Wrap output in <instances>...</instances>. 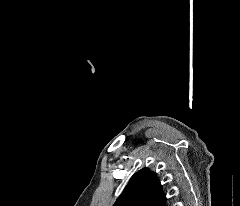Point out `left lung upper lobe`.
<instances>
[{
  "mask_svg": "<svg viewBox=\"0 0 240 206\" xmlns=\"http://www.w3.org/2000/svg\"><path fill=\"white\" fill-rule=\"evenodd\" d=\"M113 206H167L156 173L147 168L135 173Z\"/></svg>",
  "mask_w": 240,
  "mask_h": 206,
  "instance_id": "1",
  "label": "left lung upper lobe"
}]
</instances>
